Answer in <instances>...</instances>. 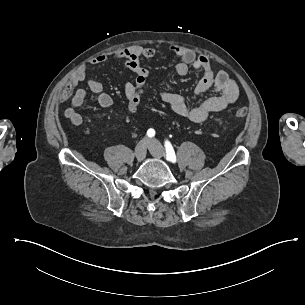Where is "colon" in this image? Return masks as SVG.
<instances>
[{"label":"colon","instance_id":"colon-1","mask_svg":"<svg viewBox=\"0 0 305 305\" xmlns=\"http://www.w3.org/2000/svg\"><path fill=\"white\" fill-rule=\"evenodd\" d=\"M63 96L64 97H68L69 96V92H65L63 94ZM128 98L130 100V103H129L130 108L133 109V110L138 109L139 106H140V103L138 101V98H139L138 93L135 92V91H132V92L129 93ZM247 114H248V109L245 108V107L238 108L235 111V116L239 117V118L245 117Z\"/></svg>","mask_w":305,"mask_h":305}]
</instances>
